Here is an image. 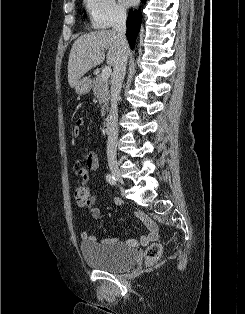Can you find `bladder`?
Here are the masks:
<instances>
[{
    "label": "bladder",
    "instance_id": "31cf9c89",
    "mask_svg": "<svg viewBox=\"0 0 245 314\" xmlns=\"http://www.w3.org/2000/svg\"><path fill=\"white\" fill-rule=\"evenodd\" d=\"M80 252L86 264L110 272L131 267L138 256L135 249L121 242H84L80 245Z\"/></svg>",
    "mask_w": 245,
    "mask_h": 314
}]
</instances>
